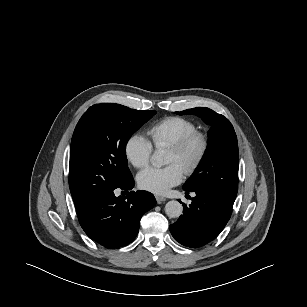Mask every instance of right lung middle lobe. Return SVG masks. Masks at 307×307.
<instances>
[{
    "instance_id": "1",
    "label": "right lung middle lobe",
    "mask_w": 307,
    "mask_h": 307,
    "mask_svg": "<svg viewBox=\"0 0 307 307\" xmlns=\"http://www.w3.org/2000/svg\"><path fill=\"white\" fill-rule=\"evenodd\" d=\"M155 114L114 103L93 105L84 113L70 147L69 187L75 207L132 177L127 166V142Z\"/></svg>"
}]
</instances>
